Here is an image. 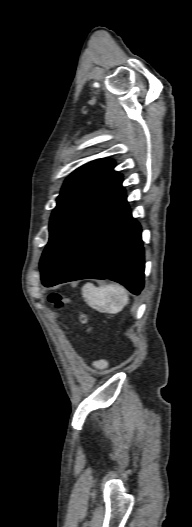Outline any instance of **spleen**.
<instances>
[{"label": "spleen", "instance_id": "3e777b00", "mask_svg": "<svg viewBox=\"0 0 192 527\" xmlns=\"http://www.w3.org/2000/svg\"><path fill=\"white\" fill-rule=\"evenodd\" d=\"M82 295L93 309L113 314L120 312L129 301L126 290L119 285L96 287L92 283H86L82 287Z\"/></svg>", "mask_w": 192, "mask_h": 527}]
</instances>
